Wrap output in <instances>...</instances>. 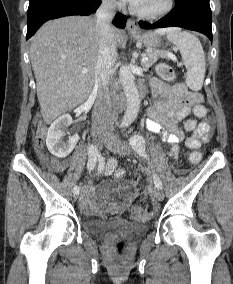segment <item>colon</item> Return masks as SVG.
I'll return each mask as SVG.
<instances>
[{"label":"colon","instance_id":"5ec220e1","mask_svg":"<svg viewBox=\"0 0 233 284\" xmlns=\"http://www.w3.org/2000/svg\"><path fill=\"white\" fill-rule=\"evenodd\" d=\"M157 73L159 76L166 81H173L175 79V72L172 67L168 64L161 63L157 66ZM194 114L196 117L203 118L207 114V110L203 105H197L194 107ZM196 127V122L194 120H188L185 123V129L188 131L194 130ZM43 126L39 127L38 135L36 138V144L39 148L43 146ZM201 159V153L199 151L193 150L189 155V160L193 163L198 162ZM105 175L114 176L116 178H123L125 176V171L118 167L117 162L113 159L107 161L103 168ZM150 211L147 208L139 207L134 210V216L136 218H145L149 216ZM123 243L119 242L117 244V250L121 254L123 252Z\"/></svg>","mask_w":233,"mask_h":284}]
</instances>
